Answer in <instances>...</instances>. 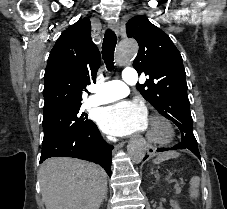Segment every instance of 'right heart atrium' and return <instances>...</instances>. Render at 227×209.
<instances>
[{"mask_svg":"<svg viewBox=\"0 0 227 209\" xmlns=\"http://www.w3.org/2000/svg\"><path fill=\"white\" fill-rule=\"evenodd\" d=\"M109 140H110V141H113V139H111V138H110Z\"/></svg>","mask_w":227,"mask_h":209,"instance_id":"right-heart-atrium-1","label":"right heart atrium"}]
</instances>
